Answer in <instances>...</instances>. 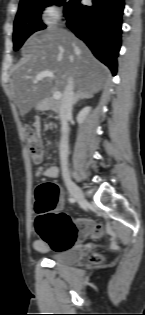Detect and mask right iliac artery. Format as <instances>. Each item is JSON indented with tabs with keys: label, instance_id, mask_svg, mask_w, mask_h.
Listing matches in <instances>:
<instances>
[{
	"label": "right iliac artery",
	"instance_id": "82829eb1",
	"mask_svg": "<svg viewBox=\"0 0 145 315\" xmlns=\"http://www.w3.org/2000/svg\"><path fill=\"white\" fill-rule=\"evenodd\" d=\"M69 201H70L71 203H74V202H75V199L72 198V197H70V198H69Z\"/></svg>",
	"mask_w": 145,
	"mask_h": 315
}]
</instances>
